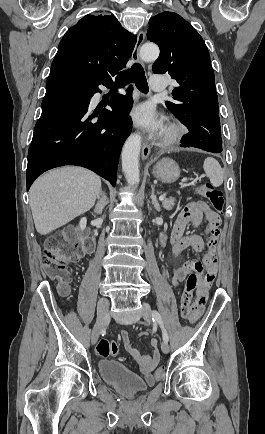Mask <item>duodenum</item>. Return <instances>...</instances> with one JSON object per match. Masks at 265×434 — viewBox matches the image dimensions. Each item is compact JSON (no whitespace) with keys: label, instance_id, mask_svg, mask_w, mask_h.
I'll use <instances>...</instances> for the list:
<instances>
[{"label":"duodenum","instance_id":"obj_1","mask_svg":"<svg viewBox=\"0 0 265 434\" xmlns=\"http://www.w3.org/2000/svg\"><path fill=\"white\" fill-rule=\"evenodd\" d=\"M160 247L162 248V247H164L162 244H160Z\"/></svg>","mask_w":265,"mask_h":434}]
</instances>
